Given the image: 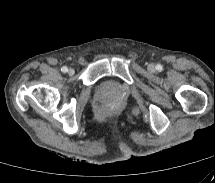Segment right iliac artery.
Returning <instances> with one entry per match:
<instances>
[{
	"label": "right iliac artery",
	"instance_id": "82829eb1",
	"mask_svg": "<svg viewBox=\"0 0 215 183\" xmlns=\"http://www.w3.org/2000/svg\"><path fill=\"white\" fill-rule=\"evenodd\" d=\"M61 71L66 73L68 71V68L66 66H64V67L61 68Z\"/></svg>",
	"mask_w": 215,
	"mask_h": 183
}]
</instances>
